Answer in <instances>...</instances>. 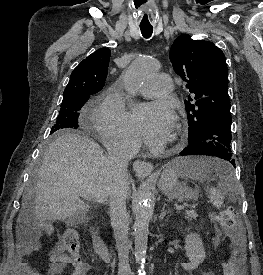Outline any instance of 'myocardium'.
Returning a JSON list of instances; mask_svg holds the SVG:
<instances>
[{"label":"myocardium","mask_w":263,"mask_h":275,"mask_svg":"<svg viewBox=\"0 0 263 275\" xmlns=\"http://www.w3.org/2000/svg\"><path fill=\"white\" fill-rule=\"evenodd\" d=\"M180 136H181L180 129H176L174 133L175 140H179Z\"/></svg>","instance_id":"1"}]
</instances>
